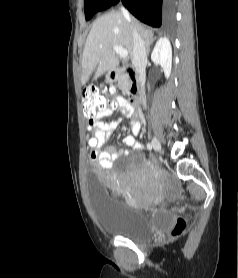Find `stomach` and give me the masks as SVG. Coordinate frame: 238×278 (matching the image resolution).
<instances>
[{
  "instance_id": "stomach-1",
  "label": "stomach",
  "mask_w": 238,
  "mask_h": 278,
  "mask_svg": "<svg viewBox=\"0 0 238 278\" xmlns=\"http://www.w3.org/2000/svg\"><path fill=\"white\" fill-rule=\"evenodd\" d=\"M106 81H107L108 83H112V82H114V79L111 78L110 74H107V75H106Z\"/></svg>"
}]
</instances>
